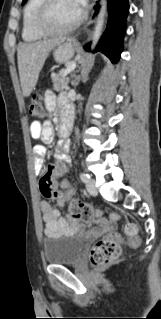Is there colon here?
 I'll return each mask as SVG.
<instances>
[{
  "instance_id": "obj_1",
  "label": "colon",
  "mask_w": 161,
  "mask_h": 319,
  "mask_svg": "<svg viewBox=\"0 0 161 319\" xmlns=\"http://www.w3.org/2000/svg\"><path fill=\"white\" fill-rule=\"evenodd\" d=\"M43 113V106L39 95H33L29 104V115L40 117ZM40 190L42 195L47 198L60 199L63 193L54 188V182L49 174L45 175L40 181ZM69 216L81 221H93L103 216V213L91 207L87 201L72 199L69 202ZM112 219L116 216L112 215ZM125 240L119 233H110L104 238L98 240L90 251V260L99 266H108L114 263L121 255L122 247L125 243L130 246L141 244L140 236L133 223L125 225Z\"/></svg>"
}]
</instances>
